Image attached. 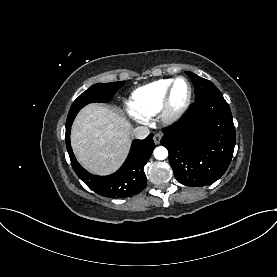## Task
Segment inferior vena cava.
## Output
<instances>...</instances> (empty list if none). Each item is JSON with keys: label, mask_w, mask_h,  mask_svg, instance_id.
Instances as JSON below:
<instances>
[{"label": "inferior vena cava", "mask_w": 277, "mask_h": 277, "mask_svg": "<svg viewBox=\"0 0 277 277\" xmlns=\"http://www.w3.org/2000/svg\"><path fill=\"white\" fill-rule=\"evenodd\" d=\"M150 131L145 126L136 127L133 130V136L136 139H145L149 135Z\"/></svg>", "instance_id": "1"}]
</instances>
